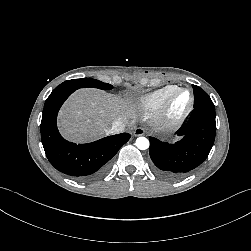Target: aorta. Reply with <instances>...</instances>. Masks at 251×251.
I'll return each instance as SVG.
<instances>
[{
	"label": "aorta",
	"mask_w": 251,
	"mask_h": 251,
	"mask_svg": "<svg viewBox=\"0 0 251 251\" xmlns=\"http://www.w3.org/2000/svg\"><path fill=\"white\" fill-rule=\"evenodd\" d=\"M136 146L140 150H146L147 148H149V140L145 137H139L136 140Z\"/></svg>",
	"instance_id": "1"
}]
</instances>
